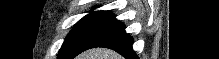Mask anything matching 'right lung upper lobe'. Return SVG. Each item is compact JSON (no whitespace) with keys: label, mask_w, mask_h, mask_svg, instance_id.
Instances as JSON below:
<instances>
[{"label":"right lung upper lobe","mask_w":219,"mask_h":59,"mask_svg":"<svg viewBox=\"0 0 219 59\" xmlns=\"http://www.w3.org/2000/svg\"><path fill=\"white\" fill-rule=\"evenodd\" d=\"M109 11H97V12H92V13H107Z\"/></svg>","instance_id":"right-lung-upper-lobe-1"}]
</instances>
